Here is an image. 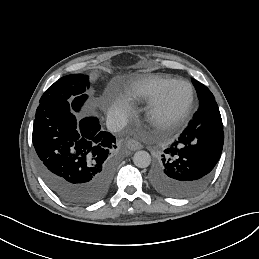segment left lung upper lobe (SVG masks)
Listing matches in <instances>:
<instances>
[{"label": "left lung upper lobe", "mask_w": 259, "mask_h": 259, "mask_svg": "<svg viewBox=\"0 0 259 259\" xmlns=\"http://www.w3.org/2000/svg\"><path fill=\"white\" fill-rule=\"evenodd\" d=\"M192 82L196 88L197 95L199 101H204L206 99L214 98V95L211 93V91L200 82L196 81L195 79H192Z\"/></svg>", "instance_id": "obj_1"}]
</instances>
